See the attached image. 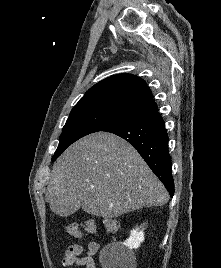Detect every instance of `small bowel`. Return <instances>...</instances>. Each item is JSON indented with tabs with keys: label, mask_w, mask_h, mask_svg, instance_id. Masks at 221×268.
Listing matches in <instances>:
<instances>
[{
	"label": "small bowel",
	"mask_w": 221,
	"mask_h": 268,
	"mask_svg": "<svg viewBox=\"0 0 221 268\" xmlns=\"http://www.w3.org/2000/svg\"><path fill=\"white\" fill-rule=\"evenodd\" d=\"M99 250V244L91 241L85 247L72 244L64 253L62 265L64 267L78 266L82 268H96L94 255Z\"/></svg>",
	"instance_id": "c3829d8e"
}]
</instances>
